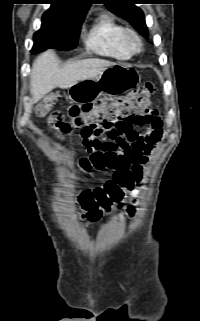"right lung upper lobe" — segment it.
Wrapping results in <instances>:
<instances>
[{"label":"right lung upper lobe","instance_id":"obj_1","mask_svg":"<svg viewBox=\"0 0 200 321\" xmlns=\"http://www.w3.org/2000/svg\"><path fill=\"white\" fill-rule=\"evenodd\" d=\"M51 7L46 11L55 16L87 13L93 0H50Z\"/></svg>","mask_w":200,"mask_h":321}]
</instances>
